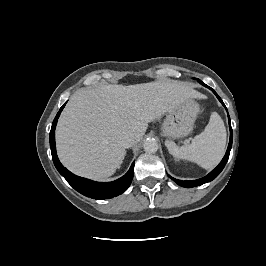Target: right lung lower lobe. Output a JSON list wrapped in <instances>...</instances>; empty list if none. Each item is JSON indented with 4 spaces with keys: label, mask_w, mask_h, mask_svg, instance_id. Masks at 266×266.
<instances>
[{
    "label": "right lung lower lobe",
    "mask_w": 266,
    "mask_h": 266,
    "mask_svg": "<svg viewBox=\"0 0 266 266\" xmlns=\"http://www.w3.org/2000/svg\"><path fill=\"white\" fill-rule=\"evenodd\" d=\"M66 104V103H65ZM65 104L57 113L50 131V147L54 165L58 172L67 180V182L79 193L93 199H109L123 193L130 186L133 174L134 163H132L129 171L121 178L112 182H95L86 178L74 175L68 171L59 161L56 153L55 145V128L61 111Z\"/></svg>",
    "instance_id": "obj_1"
}]
</instances>
